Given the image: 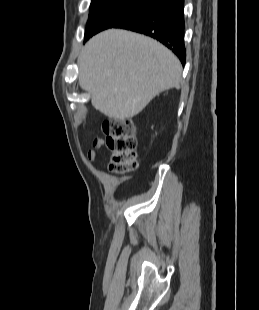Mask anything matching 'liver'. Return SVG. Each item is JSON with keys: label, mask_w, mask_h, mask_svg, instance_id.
Returning a JSON list of instances; mask_svg holds the SVG:
<instances>
[{"label": "liver", "mask_w": 259, "mask_h": 310, "mask_svg": "<svg viewBox=\"0 0 259 310\" xmlns=\"http://www.w3.org/2000/svg\"><path fill=\"white\" fill-rule=\"evenodd\" d=\"M80 87L109 118L139 114L159 93L179 87L182 65L165 46L141 34L110 29L90 39L78 57Z\"/></svg>", "instance_id": "obj_1"}]
</instances>
